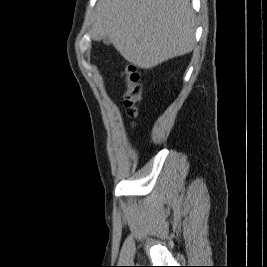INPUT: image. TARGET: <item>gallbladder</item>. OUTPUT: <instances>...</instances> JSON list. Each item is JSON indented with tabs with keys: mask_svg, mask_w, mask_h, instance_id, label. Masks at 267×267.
<instances>
[{
	"mask_svg": "<svg viewBox=\"0 0 267 267\" xmlns=\"http://www.w3.org/2000/svg\"><path fill=\"white\" fill-rule=\"evenodd\" d=\"M103 43H104L105 45H110V44H111V41H110V39H109L108 37H104V38H103Z\"/></svg>",
	"mask_w": 267,
	"mask_h": 267,
	"instance_id": "bac80fb5",
	"label": "gallbladder"
}]
</instances>
